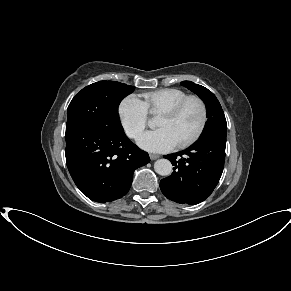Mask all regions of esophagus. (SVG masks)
I'll return each instance as SVG.
<instances>
[{"label": "esophagus", "instance_id": "esophagus-1", "mask_svg": "<svg viewBox=\"0 0 291 291\" xmlns=\"http://www.w3.org/2000/svg\"><path fill=\"white\" fill-rule=\"evenodd\" d=\"M151 160H155L160 157L158 154H149Z\"/></svg>", "mask_w": 291, "mask_h": 291}]
</instances>
